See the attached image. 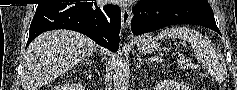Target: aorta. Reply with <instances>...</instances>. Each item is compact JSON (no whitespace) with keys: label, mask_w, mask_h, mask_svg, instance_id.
<instances>
[{"label":"aorta","mask_w":237,"mask_h":90,"mask_svg":"<svg viewBox=\"0 0 237 90\" xmlns=\"http://www.w3.org/2000/svg\"><path fill=\"white\" fill-rule=\"evenodd\" d=\"M112 74L114 90H127L129 86V72L127 64L120 54H117L113 60Z\"/></svg>","instance_id":"aorta-1"}]
</instances>
